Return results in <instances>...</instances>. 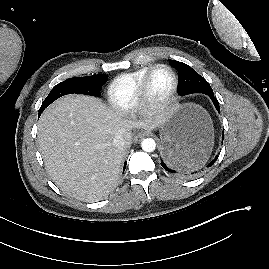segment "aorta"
I'll use <instances>...</instances> for the list:
<instances>
[{"label":"aorta","instance_id":"762f6f07","mask_svg":"<svg viewBox=\"0 0 269 269\" xmlns=\"http://www.w3.org/2000/svg\"><path fill=\"white\" fill-rule=\"evenodd\" d=\"M141 147L145 152H153L156 148V143L152 138H146L141 142Z\"/></svg>","mask_w":269,"mask_h":269}]
</instances>
